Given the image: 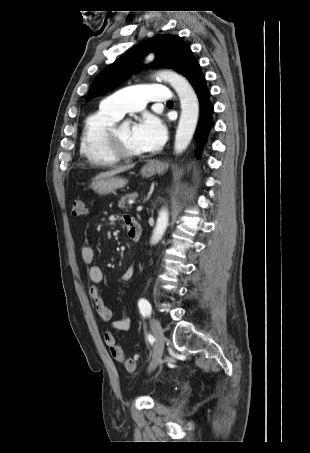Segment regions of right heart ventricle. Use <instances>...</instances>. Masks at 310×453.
<instances>
[{"label": "right heart ventricle", "mask_w": 310, "mask_h": 453, "mask_svg": "<svg viewBox=\"0 0 310 453\" xmlns=\"http://www.w3.org/2000/svg\"><path fill=\"white\" fill-rule=\"evenodd\" d=\"M120 118L121 116L100 105L85 119L80 139V153L90 165L110 167L120 161L106 145L108 131Z\"/></svg>", "instance_id": "e07e8e85"}]
</instances>
